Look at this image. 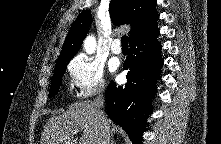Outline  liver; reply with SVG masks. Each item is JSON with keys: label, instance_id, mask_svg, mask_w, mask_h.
Returning <instances> with one entry per match:
<instances>
[{"label": "liver", "instance_id": "obj_1", "mask_svg": "<svg viewBox=\"0 0 221 144\" xmlns=\"http://www.w3.org/2000/svg\"><path fill=\"white\" fill-rule=\"evenodd\" d=\"M105 118L110 129V121ZM80 132L79 144H98L100 125L95 109L89 103H73L62 115L49 118L41 144H78L76 135Z\"/></svg>", "mask_w": 221, "mask_h": 144}]
</instances>
